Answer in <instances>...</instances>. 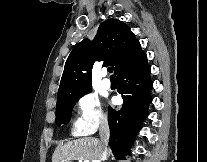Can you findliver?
Masks as SVG:
<instances>
[{"label":"liver","mask_w":207,"mask_h":162,"mask_svg":"<svg viewBox=\"0 0 207 162\" xmlns=\"http://www.w3.org/2000/svg\"><path fill=\"white\" fill-rule=\"evenodd\" d=\"M104 149V144L95 137L79 138L59 144L52 155V162H69L72 160L99 161ZM107 153L111 154V151L107 149Z\"/></svg>","instance_id":"obj_1"}]
</instances>
